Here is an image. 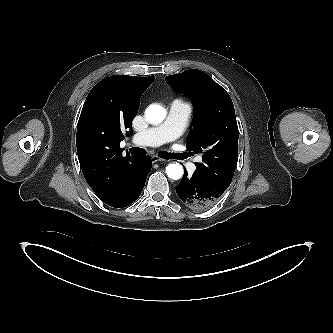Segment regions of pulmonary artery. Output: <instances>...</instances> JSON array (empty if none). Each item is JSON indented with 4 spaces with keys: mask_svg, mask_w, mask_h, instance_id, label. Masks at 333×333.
I'll list each match as a JSON object with an SVG mask.
<instances>
[{
    "mask_svg": "<svg viewBox=\"0 0 333 333\" xmlns=\"http://www.w3.org/2000/svg\"><path fill=\"white\" fill-rule=\"evenodd\" d=\"M192 112L189 103L182 100H174L170 107L166 120L158 126L151 127L133 137V142L140 146H159L178 138L185 130ZM189 171H194L196 166L188 163Z\"/></svg>",
    "mask_w": 333,
    "mask_h": 333,
    "instance_id": "1",
    "label": "pulmonary artery"
}]
</instances>
